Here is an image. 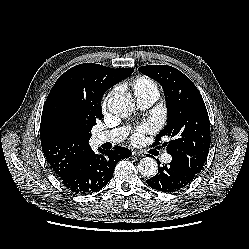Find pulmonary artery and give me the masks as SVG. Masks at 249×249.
<instances>
[{"instance_id":"e3ab8cb5","label":"pulmonary artery","mask_w":249,"mask_h":249,"mask_svg":"<svg viewBox=\"0 0 249 249\" xmlns=\"http://www.w3.org/2000/svg\"><path fill=\"white\" fill-rule=\"evenodd\" d=\"M158 97L159 93L151 92L137 97V100L141 108H148L158 99ZM127 131V128L120 127L110 131L100 132L94 136V142L96 144H102L105 142L116 143L126 137ZM162 160L165 163H169L172 160V157L170 154H164Z\"/></svg>"}]
</instances>
